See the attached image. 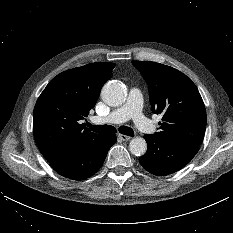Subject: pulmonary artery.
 <instances>
[{
  "label": "pulmonary artery",
  "mask_w": 233,
  "mask_h": 233,
  "mask_svg": "<svg viewBox=\"0 0 233 233\" xmlns=\"http://www.w3.org/2000/svg\"><path fill=\"white\" fill-rule=\"evenodd\" d=\"M143 94L138 88H131L126 102L107 115L95 117L99 123H122L132 119L141 131L152 133L154 125L142 113Z\"/></svg>",
  "instance_id": "e3ab8cb5"
}]
</instances>
